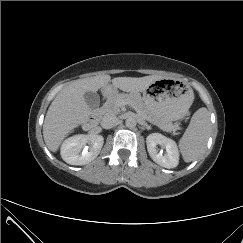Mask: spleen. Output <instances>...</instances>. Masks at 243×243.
I'll return each mask as SVG.
<instances>
[{
  "instance_id": "1",
  "label": "spleen",
  "mask_w": 243,
  "mask_h": 243,
  "mask_svg": "<svg viewBox=\"0 0 243 243\" xmlns=\"http://www.w3.org/2000/svg\"><path fill=\"white\" fill-rule=\"evenodd\" d=\"M210 129V114L202 107L193 114L188 128L179 140V149L185 162L194 161L204 153Z\"/></svg>"
}]
</instances>
